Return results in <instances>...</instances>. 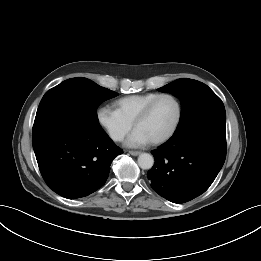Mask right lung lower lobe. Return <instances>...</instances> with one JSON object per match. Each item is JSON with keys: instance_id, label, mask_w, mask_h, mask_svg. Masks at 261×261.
<instances>
[{"instance_id": "1", "label": "right lung lower lobe", "mask_w": 261, "mask_h": 261, "mask_svg": "<svg viewBox=\"0 0 261 261\" xmlns=\"http://www.w3.org/2000/svg\"><path fill=\"white\" fill-rule=\"evenodd\" d=\"M33 149L47 185L68 199L103 186L113 159L123 151L101 129L54 123L33 131Z\"/></svg>"}]
</instances>
